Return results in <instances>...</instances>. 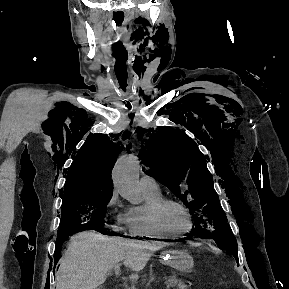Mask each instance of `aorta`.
<instances>
[{
  "instance_id": "aorta-1",
  "label": "aorta",
  "mask_w": 289,
  "mask_h": 289,
  "mask_svg": "<svg viewBox=\"0 0 289 289\" xmlns=\"http://www.w3.org/2000/svg\"><path fill=\"white\" fill-rule=\"evenodd\" d=\"M139 169L138 158L130 154L119 158L112 172L115 189L132 204H138L142 200L138 182Z\"/></svg>"
}]
</instances>
